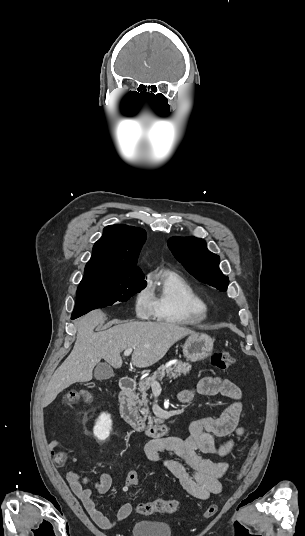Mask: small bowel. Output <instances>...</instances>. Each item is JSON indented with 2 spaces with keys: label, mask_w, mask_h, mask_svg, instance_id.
Instances as JSON below:
<instances>
[{
  "label": "small bowel",
  "mask_w": 305,
  "mask_h": 536,
  "mask_svg": "<svg viewBox=\"0 0 305 536\" xmlns=\"http://www.w3.org/2000/svg\"><path fill=\"white\" fill-rule=\"evenodd\" d=\"M197 394L222 395L231 400L219 417H202L192 421L189 425V436L185 439L167 436L148 441L144 446V453L149 461L161 463L177 480L181 488L192 497L207 500L213 494L221 493L222 477L225 475L228 464L224 461H214L202 457L200 453L224 457L234 447L233 440L218 442L216 437L235 434L240 437L244 430L240 420L244 416L240 403L241 391L232 381L221 377H204L195 388L186 389L179 393V400L187 403ZM161 452L174 453L181 461L175 459L162 460ZM74 495L81 501L92 520L102 529L108 530L116 522L123 521L131 515L134 505L125 502L117 511L116 520H112L102 513L92 498L91 485L101 494L107 493L113 483L112 476L104 472L96 481L81 477L72 467L65 474ZM124 491H128L123 487Z\"/></svg>",
  "instance_id": "obj_1"
}]
</instances>
